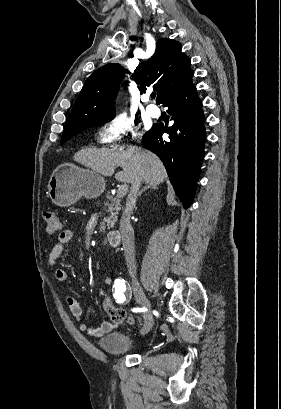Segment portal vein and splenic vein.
Listing matches in <instances>:
<instances>
[{
    "label": "portal vein and splenic vein",
    "instance_id": "portal-vein-and-splenic-vein-1",
    "mask_svg": "<svg viewBox=\"0 0 281 409\" xmlns=\"http://www.w3.org/2000/svg\"><path fill=\"white\" fill-rule=\"evenodd\" d=\"M130 187V182L129 181H124L122 186H119L118 188V194L120 196H126L127 195V190L126 188Z\"/></svg>",
    "mask_w": 281,
    "mask_h": 409
}]
</instances>
